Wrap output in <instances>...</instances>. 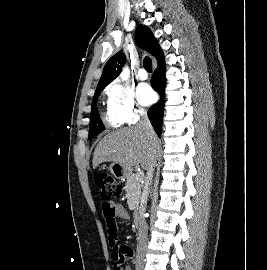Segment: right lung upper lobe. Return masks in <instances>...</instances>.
Instances as JSON below:
<instances>
[{
	"instance_id": "right-lung-upper-lobe-1",
	"label": "right lung upper lobe",
	"mask_w": 267,
	"mask_h": 270,
	"mask_svg": "<svg viewBox=\"0 0 267 270\" xmlns=\"http://www.w3.org/2000/svg\"><path fill=\"white\" fill-rule=\"evenodd\" d=\"M137 44L148 51L157 60L163 55L157 39L153 36L148 27L139 25L136 29ZM126 62L124 53H117L112 56L106 63L102 76L99 80L96 92H101L110 82H112L121 72ZM95 92V93H96Z\"/></svg>"
}]
</instances>
